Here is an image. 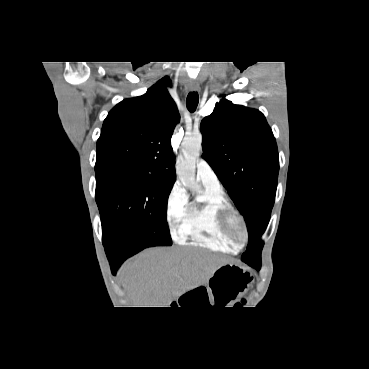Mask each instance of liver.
Segmentation results:
<instances>
[{
    "label": "liver",
    "mask_w": 369,
    "mask_h": 369,
    "mask_svg": "<svg viewBox=\"0 0 369 369\" xmlns=\"http://www.w3.org/2000/svg\"><path fill=\"white\" fill-rule=\"evenodd\" d=\"M225 263L224 256L203 249L150 248L128 260L119 275L134 307H168Z\"/></svg>",
    "instance_id": "6515ba94"
}]
</instances>
